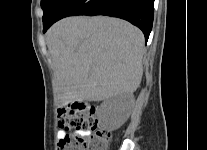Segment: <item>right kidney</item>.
I'll use <instances>...</instances> for the list:
<instances>
[{
  "instance_id": "right-kidney-1",
  "label": "right kidney",
  "mask_w": 207,
  "mask_h": 150,
  "mask_svg": "<svg viewBox=\"0 0 207 150\" xmlns=\"http://www.w3.org/2000/svg\"><path fill=\"white\" fill-rule=\"evenodd\" d=\"M133 106L132 94H120L105 100L100 108V119L108 130L120 128L128 119Z\"/></svg>"
}]
</instances>
